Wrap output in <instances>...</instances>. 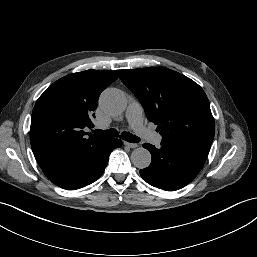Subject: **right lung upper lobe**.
I'll list each match as a JSON object with an SVG mask.
<instances>
[{
    "label": "right lung upper lobe",
    "instance_id": "cb5924a9",
    "mask_svg": "<svg viewBox=\"0 0 257 257\" xmlns=\"http://www.w3.org/2000/svg\"><path fill=\"white\" fill-rule=\"evenodd\" d=\"M117 71L86 70L54 82L37 100L31 119L30 139L42 169L76 157L107 139L83 129L91 121L101 92L118 78Z\"/></svg>",
    "mask_w": 257,
    "mask_h": 257
}]
</instances>
